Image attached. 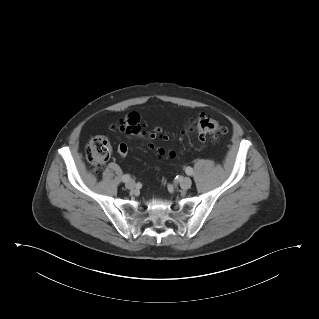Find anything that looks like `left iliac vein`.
<instances>
[{"mask_svg": "<svg viewBox=\"0 0 319 319\" xmlns=\"http://www.w3.org/2000/svg\"><path fill=\"white\" fill-rule=\"evenodd\" d=\"M192 185V181L190 178L188 177H184L181 179L180 181V186L183 188V189H189Z\"/></svg>", "mask_w": 319, "mask_h": 319, "instance_id": "1", "label": "left iliac vein"}]
</instances>
